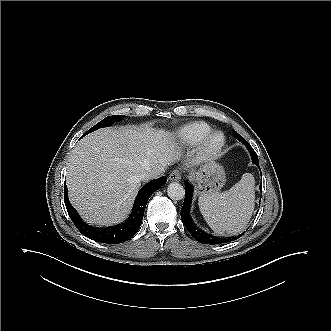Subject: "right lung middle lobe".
I'll return each instance as SVG.
<instances>
[{
    "label": "right lung middle lobe",
    "mask_w": 331,
    "mask_h": 331,
    "mask_svg": "<svg viewBox=\"0 0 331 331\" xmlns=\"http://www.w3.org/2000/svg\"><path fill=\"white\" fill-rule=\"evenodd\" d=\"M126 116H122V115H114V116H109L104 118L102 121H100L98 124H96L94 127H92L91 129H89L84 135L91 133L99 128L102 127H108L110 125H112L115 122L121 121L125 118Z\"/></svg>",
    "instance_id": "1"
}]
</instances>
